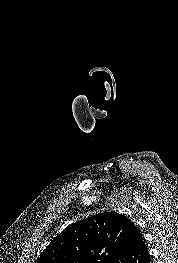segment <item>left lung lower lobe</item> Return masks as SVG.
I'll list each match as a JSON object with an SVG mask.
<instances>
[{
  "instance_id": "left-lung-lower-lobe-1",
  "label": "left lung lower lobe",
  "mask_w": 178,
  "mask_h": 263,
  "mask_svg": "<svg viewBox=\"0 0 178 263\" xmlns=\"http://www.w3.org/2000/svg\"><path fill=\"white\" fill-rule=\"evenodd\" d=\"M111 263H152L142 234L134 223Z\"/></svg>"
}]
</instances>
